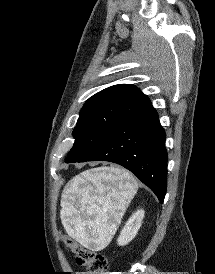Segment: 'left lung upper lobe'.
<instances>
[{
	"mask_svg": "<svg viewBox=\"0 0 215 274\" xmlns=\"http://www.w3.org/2000/svg\"><path fill=\"white\" fill-rule=\"evenodd\" d=\"M149 105V98L129 84L114 85L90 97L79 113L73 130L75 143L65 162L85 157L116 127Z\"/></svg>",
	"mask_w": 215,
	"mask_h": 274,
	"instance_id": "1",
	"label": "left lung upper lobe"
}]
</instances>
